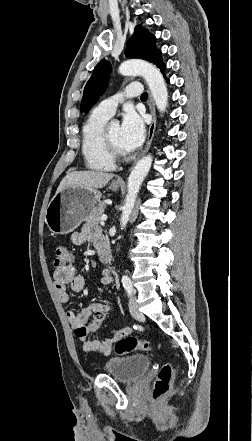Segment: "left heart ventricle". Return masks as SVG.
Instances as JSON below:
<instances>
[{
	"label": "left heart ventricle",
	"instance_id": "obj_1",
	"mask_svg": "<svg viewBox=\"0 0 252 441\" xmlns=\"http://www.w3.org/2000/svg\"><path fill=\"white\" fill-rule=\"evenodd\" d=\"M108 134H109V138H110L112 144L117 149L122 151V149L120 147V126L119 125L109 126L108 127Z\"/></svg>",
	"mask_w": 252,
	"mask_h": 441
}]
</instances>
